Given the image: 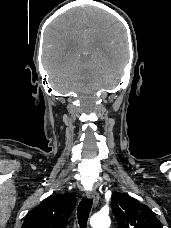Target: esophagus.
<instances>
[{"instance_id": "esophagus-1", "label": "esophagus", "mask_w": 171, "mask_h": 228, "mask_svg": "<svg viewBox=\"0 0 171 228\" xmlns=\"http://www.w3.org/2000/svg\"><path fill=\"white\" fill-rule=\"evenodd\" d=\"M88 198L92 199L94 205L96 206L99 202V194L97 193L96 190H90L87 192Z\"/></svg>"}]
</instances>
